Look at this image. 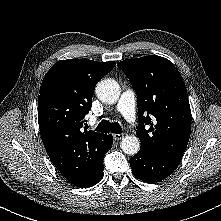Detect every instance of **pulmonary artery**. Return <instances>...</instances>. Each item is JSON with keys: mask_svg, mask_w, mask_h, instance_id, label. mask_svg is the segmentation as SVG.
Masks as SVG:
<instances>
[{"mask_svg": "<svg viewBox=\"0 0 221 221\" xmlns=\"http://www.w3.org/2000/svg\"><path fill=\"white\" fill-rule=\"evenodd\" d=\"M135 107L136 98L134 93L129 89L125 90L116 105V109L130 124H134L137 120Z\"/></svg>", "mask_w": 221, "mask_h": 221, "instance_id": "pulmonary-artery-1", "label": "pulmonary artery"}]
</instances>
